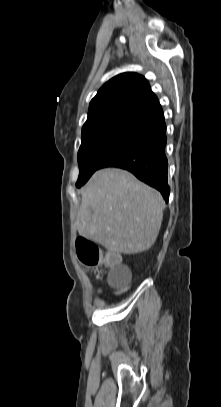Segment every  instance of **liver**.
<instances>
[{
    "label": "liver",
    "mask_w": 221,
    "mask_h": 407,
    "mask_svg": "<svg viewBox=\"0 0 221 407\" xmlns=\"http://www.w3.org/2000/svg\"><path fill=\"white\" fill-rule=\"evenodd\" d=\"M164 208L161 194L130 172L102 169L82 193L79 234L112 253L137 254L155 243Z\"/></svg>",
    "instance_id": "obj_1"
}]
</instances>
